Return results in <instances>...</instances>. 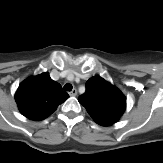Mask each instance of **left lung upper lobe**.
<instances>
[{"instance_id": "obj_1", "label": "left lung upper lobe", "mask_w": 163, "mask_h": 163, "mask_svg": "<svg viewBox=\"0 0 163 163\" xmlns=\"http://www.w3.org/2000/svg\"><path fill=\"white\" fill-rule=\"evenodd\" d=\"M78 101L101 126L116 123L126 109L123 93L100 76H94L86 82V92Z\"/></svg>"}]
</instances>
